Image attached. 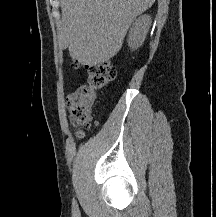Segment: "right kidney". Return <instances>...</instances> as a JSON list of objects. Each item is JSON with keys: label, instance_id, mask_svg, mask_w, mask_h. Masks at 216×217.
I'll return each mask as SVG.
<instances>
[{"label": "right kidney", "instance_id": "right-kidney-1", "mask_svg": "<svg viewBox=\"0 0 216 217\" xmlns=\"http://www.w3.org/2000/svg\"><path fill=\"white\" fill-rule=\"evenodd\" d=\"M151 24V17L143 15L139 17L133 24L129 32L128 44L134 50L142 45Z\"/></svg>", "mask_w": 216, "mask_h": 217}]
</instances>
